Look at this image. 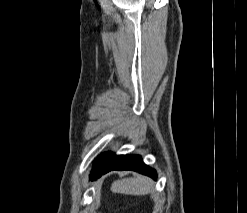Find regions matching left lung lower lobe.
<instances>
[{
	"mask_svg": "<svg viewBox=\"0 0 247 213\" xmlns=\"http://www.w3.org/2000/svg\"><path fill=\"white\" fill-rule=\"evenodd\" d=\"M112 170H133L143 175L149 176L154 180L157 174L154 169L145 165L139 155H114L107 152L100 155L93 164L90 179L95 180L102 174Z\"/></svg>",
	"mask_w": 247,
	"mask_h": 213,
	"instance_id": "0a47b994",
	"label": "left lung lower lobe"
}]
</instances>
